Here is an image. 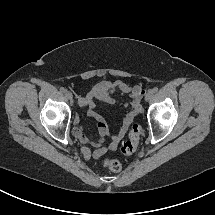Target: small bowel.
<instances>
[{"label": "small bowel", "instance_id": "obj_1", "mask_svg": "<svg viewBox=\"0 0 215 215\" xmlns=\"http://www.w3.org/2000/svg\"><path fill=\"white\" fill-rule=\"evenodd\" d=\"M113 92L129 95L132 101L129 105H126L128 110L123 118L119 131L111 134L105 118L96 112V105L98 102L114 104L115 99L112 97ZM143 94L144 89L139 85L130 86L121 80H105L97 83L79 100L81 106L87 107V115L94 118L97 122V136L94 138L87 136L81 125L76 126L74 130L75 137L84 145L82 153L86 159H98L103 156L108 149H117L134 117L142 110L141 97ZM107 139L108 142H106ZM90 147H93L94 150L91 151Z\"/></svg>", "mask_w": 215, "mask_h": 215}]
</instances>
